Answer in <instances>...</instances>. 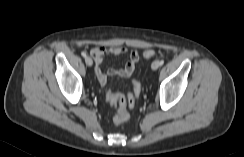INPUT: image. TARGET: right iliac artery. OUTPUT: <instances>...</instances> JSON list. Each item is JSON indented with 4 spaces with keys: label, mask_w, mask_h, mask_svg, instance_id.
Listing matches in <instances>:
<instances>
[{
    "label": "right iliac artery",
    "mask_w": 244,
    "mask_h": 157,
    "mask_svg": "<svg viewBox=\"0 0 244 157\" xmlns=\"http://www.w3.org/2000/svg\"><path fill=\"white\" fill-rule=\"evenodd\" d=\"M81 55H82L84 58H86V57H87L86 52H81Z\"/></svg>",
    "instance_id": "82829eb1"
}]
</instances>
